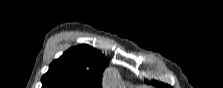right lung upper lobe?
Returning a JSON list of instances; mask_svg holds the SVG:
<instances>
[{"label":"right lung upper lobe","instance_id":"cb5924a9","mask_svg":"<svg viewBox=\"0 0 223 88\" xmlns=\"http://www.w3.org/2000/svg\"><path fill=\"white\" fill-rule=\"evenodd\" d=\"M107 58L98 50L79 45L53 61L42 76V88H102Z\"/></svg>","mask_w":223,"mask_h":88}]
</instances>
